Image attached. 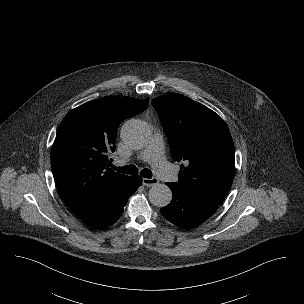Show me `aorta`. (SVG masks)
<instances>
[{
	"label": "aorta",
	"instance_id": "1",
	"mask_svg": "<svg viewBox=\"0 0 304 304\" xmlns=\"http://www.w3.org/2000/svg\"><path fill=\"white\" fill-rule=\"evenodd\" d=\"M121 138L128 147L139 149L146 144L149 138V129L143 121L133 119L122 127ZM148 197L153 205L165 207L172 200V192L165 184H155L149 190Z\"/></svg>",
	"mask_w": 304,
	"mask_h": 304
}]
</instances>
